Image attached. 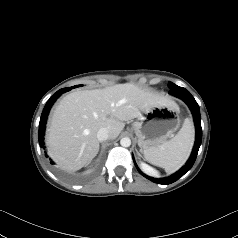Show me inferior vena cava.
I'll list each match as a JSON object with an SVG mask.
<instances>
[{
	"instance_id": "inferior-vena-cava-1",
	"label": "inferior vena cava",
	"mask_w": 238,
	"mask_h": 238,
	"mask_svg": "<svg viewBox=\"0 0 238 238\" xmlns=\"http://www.w3.org/2000/svg\"><path fill=\"white\" fill-rule=\"evenodd\" d=\"M109 138V131L107 128H101L97 132L98 141L102 142Z\"/></svg>"
}]
</instances>
